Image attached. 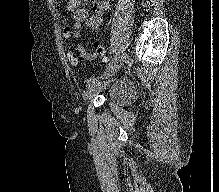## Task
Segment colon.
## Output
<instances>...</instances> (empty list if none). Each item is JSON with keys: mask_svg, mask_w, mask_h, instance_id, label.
<instances>
[{"mask_svg": "<svg viewBox=\"0 0 219 192\" xmlns=\"http://www.w3.org/2000/svg\"><path fill=\"white\" fill-rule=\"evenodd\" d=\"M93 47H94L95 53L98 57L104 58L106 56V49L100 42H98V41L94 42ZM70 59L73 62L78 61V57L76 55H70Z\"/></svg>", "mask_w": 219, "mask_h": 192, "instance_id": "obj_1", "label": "colon"}]
</instances>
